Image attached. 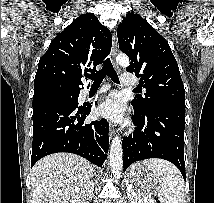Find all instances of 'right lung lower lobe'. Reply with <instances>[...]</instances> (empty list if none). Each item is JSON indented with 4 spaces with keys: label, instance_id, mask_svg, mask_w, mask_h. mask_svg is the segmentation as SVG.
Wrapping results in <instances>:
<instances>
[{
    "label": "right lung lower lobe",
    "instance_id": "1",
    "mask_svg": "<svg viewBox=\"0 0 214 203\" xmlns=\"http://www.w3.org/2000/svg\"><path fill=\"white\" fill-rule=\"evenodd\" d=\"M91 105L59 102L33 111L31 167L42 157L57 153L78 154L102 166L108 153L106 119L84 123Z\"/></svg>",
    "mask_w": 214,
    "mask_h": 203
}]
</instances>
